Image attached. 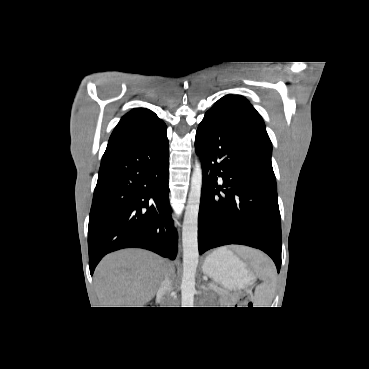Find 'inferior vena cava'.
<instances>
[{"label": "inferior vena cava", "instance_id": "602c4592", "mask_svg": "<svg viewBox=\"0 0 369 369\" xmlns=\"http://www.w3.org/2000/svg\"><path fill=\"white\" fill-rule=\"evenodd\" d=\"M172 285L170 274L167 273L159 286V293L162 295L165 307H175L176 299L171 295Z\"/></svg>", "mask_w": 369, "mask_h": 369}]
</instances>
